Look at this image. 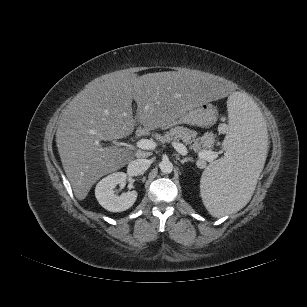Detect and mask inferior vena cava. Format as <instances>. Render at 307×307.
I'll return each instance as SVG.
<instances>
[{
  "label": "inferior vena cava",
  "instance_id": "obj_1",
  "mask_svg": "<svg viewBox=\"0 0 307 307\" xmlns=\"http://www.w3.org/2000/svg\"><path fill=\"white\" fill-rule=\"evenodd\" d=\"M151 162L147 159H136L128 164L127 172L131 176L143 174L150 166Z\"/></svg>",
  "mask_w": 307,
  "mask_h": 307
}]
</instances>
